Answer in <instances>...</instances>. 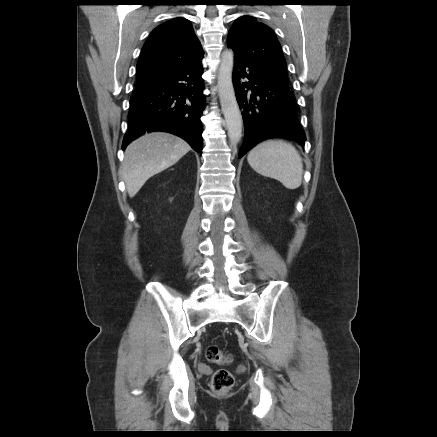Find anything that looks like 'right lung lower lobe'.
I'll return each instance as SVG.
<instances>
[{"label":"right lung lower lobe","instance_id":"1","mask_svg":"<svg viewBox=\"0 0 437 437\" xmlns=\"http://www.w3.org/2000/svg\"><path fill=\"white\" fill-rule=\"evenodd\" d=\"M201 60L166 73L136 89L130 99L129 128L122 149L146 131H166L180 136L202 153L204 108Z\"/></svg>","mask_w":437,"mask_h":437}]
</instances>
